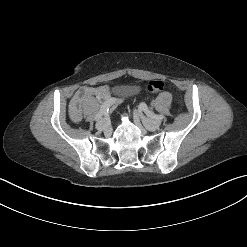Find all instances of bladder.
<instances>
[{"label":"bladder","mask_w":247,"mask_h":247,"mask_svg":"<svg viewBox=\"0 0 247 247\" xmlns=\"http://www.w3.org/2000/svg\"><path fill=\"white\" fill-rule=\"evenodd\" d=\"M135 91H136L135 85H125L120 88L119 95L124 98L133 95Z\"/></svg>","instance_id":"31cf9c89"}]
</instances>
